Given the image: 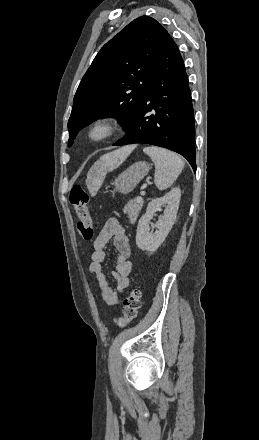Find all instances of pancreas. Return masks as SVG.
I'll list each match as a JSON object with an SVG mask.
<instances>
[{"label":"pancreas","mask_w":259,"mask_h":440,"mask_svg":"<svg viewBox=\"0 0 259 440\" xmlns=\"http://www.w3.org/2000/svg\"><path fill=\"white\" fill-rule=\"evenodd\" d=\"M144 202H138L136 200L129 201L127 205H125L123 212L127 214V217L130 221H133L138 216Z\"/></svg>","instance_id":"obj_1"}]
</instances>
